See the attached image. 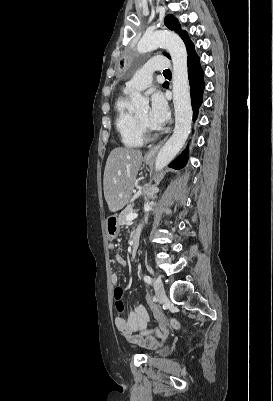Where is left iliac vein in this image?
<instances>
[{
    "label": "left iliac vein",
    "instance_id": "4c4485c4",
    "mask_svg": "<svg viewBox=\"0 0 273 401\" xmlns=\"http://www.w3.org/2000/svg\"><path fill=\"white\" fill-rule=\"evenodd\" d=\"M153 284H154L155 293H156L160 303H162L166 297L162 280L159 278H155L153 280Z\"/></svg>",
    "mask_w": 273,
    "mask_h": 401
}]
</instances>
